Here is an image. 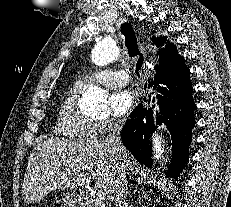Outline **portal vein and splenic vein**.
Segmentation results:
<instances>
[{"label":"portal vein and splenic vein","instance_id":"portal-vein-and-splenic-vein-1","mask_svg":"<svg viewBox=\"0 0 231 207\" xmlns=\"http://www.w3.org/2000/svg\"><path fill=\"white\" fill-rule=\"evenodd\" d=\"M94 193L96 195L97 200H100V201L104 200L105 193L102 190H98L97 192L95 191Z\"/></svg>","mask_w":231,"mask_h":207}]
</instances>
